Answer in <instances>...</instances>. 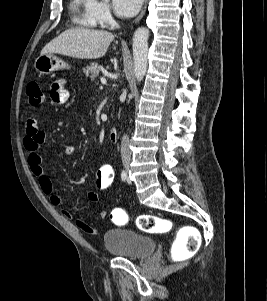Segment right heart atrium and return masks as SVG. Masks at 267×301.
<instances>
[{
	"label": "right heart atrium",
	"mask_w": 267,
	"mask_h": 301,
	"mask_svg": "<svg viewBox=\"0 0 267 301\" xmlns=\"http://www.w3.org/2000/svg\"><path fill=\"white\" fill-rule=\"evenodd\" d=\"M90 16L96 25L110 27L114 22L109 5L103 0H91Z\"/></svg>",
	"instance_id": "1"
}]
</instances>
